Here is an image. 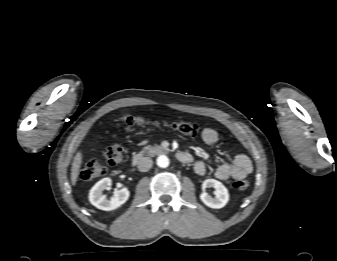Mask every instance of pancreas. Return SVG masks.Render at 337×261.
<instances>
[{
	"mask_svg": "<svg viewBox=\"0 0 337 261\" xmlns=\"http://www.w3.org/2000/svg\"><path fill=\"white\" fill-rule=\"evenodd\" d=\"M167 151H168V149H165L162 146H150V145H148V146H145L142 149L141 153L142 154L146 153V154H148L150 156H154L156 154H161V153L167 152Z\"/></svg>",
	"mask_w": 337,
	"mask_h": 261,
	"instance_id": "cf45deb5",
	"label": "pancreas"
}]
</instances>
